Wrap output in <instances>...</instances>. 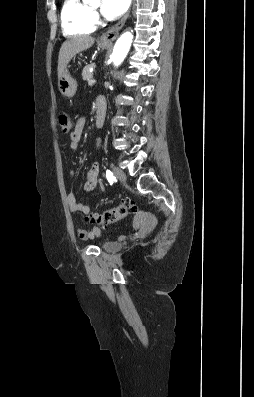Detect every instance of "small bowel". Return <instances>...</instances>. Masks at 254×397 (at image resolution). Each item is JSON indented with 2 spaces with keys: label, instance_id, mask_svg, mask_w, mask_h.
Masks as SVG:
<instances>
[{
  "label": "small bowel",
  "instance_id": "obj_1",
  "mask_svg": "<svg viewBox=\"0 0 254 397\" xmlns=\"http://www.w3.org/2000/svg\"><path fill=\"white\" fill-rule=\"evenodd\" d=\"M86 124V119L84 117H80L77 119L74 128L70 134V144L69 148L72 152H76L79 148V142L82 137L84 128ZM97 148H100V141H97ZM70 176L72 178L75 177V172L73 170L70 171ZM100 186L102 191H105V186L102 184L100 179V167L98 162H94L87 174V180L84 185V189L86 192L90 193L96 189L97 186ZM67 202L69 208L72 212H81L84 214H89L91 212V208L83 203L77 201L74 193H69L67 195ZM146 222V217L143 214H139L135 228H139L144 225ZM76 235L80 240H88L94 239L101 235V231L98 227H94L91 230H85L80 227H76Z\"/></svg>",
  "mask_w": 254,
  "mask_h": 397
}]
</instances>
